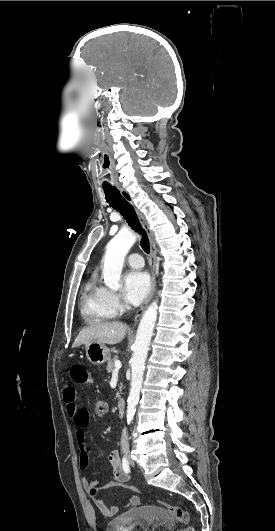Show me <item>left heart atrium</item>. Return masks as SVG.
I'll list each match as a JSON object with an SVG mask.
<instances>
[{"instance_id":"1","label":"left heart atrium","mask_w":275,"mask_h":531,"mask_svg":"<svg viewBox=\"0 0 275 531\" xmlns=\"http://www.w3.org/2000/svg\"><path fill=\"white\" fill-rule=\"evenodd\" d=\"M150 288V277L142 269H132L123 277V292L126 300L138 305L147 295Z\"/></svg>"}]
</instances>
